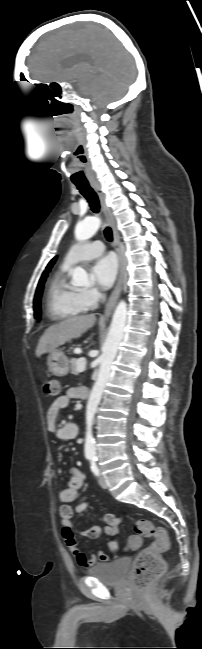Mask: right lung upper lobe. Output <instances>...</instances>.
Instances as JSON below:
<instances>
[{"label":"right lung upper lobe","instance_id":"1","mask_svg":"<svg viewBox=\"0 0 202 649\" xmlns=\"http://www.w3.org/2000/svg\"><path fill=\"white\" fill-rule=\"evenodd\" d=\"M55 259H56V258H53V259L49 262V264L47 265V267H46L45 271L43 272V274H44L45 272H47V271H50L52 265H53L54 262H55Z\"/></svg>","mask_w":202,"mask_h":649}]
</instances>
